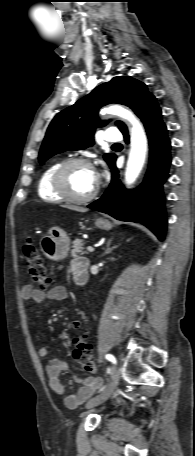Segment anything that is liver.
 I'll return each mask as SVG.
<instances>
[{"label": "liver", "instance_id": "obj_1", "mask_svg": "<svg viewBox=\"0 0 195 456\" xmlns=\"http://www.w3.org/2000/svg\"><path fill=\"white\" fill-rule=\"evenodd\" d=\"M62 207L67 208V209H71V210H74V211H77V212H86L87 211V209L80 208V207L73 206V205H64Z\"/></svg>", "mask_w": 195, "mask_h": 456}]
</instances>
